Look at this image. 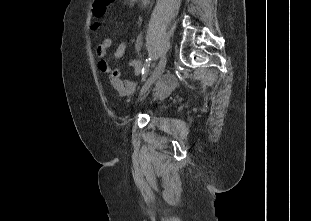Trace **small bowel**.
Masks as SVG:
<instances>
[{
  "label": "small bowel",
  "instance_id": "1",
  "mask_svg": "<svg viewBox=\"0 0 311 221\" xmlns=\"http://www.w3.org/2000/svg\"><path fill=\"white\" fill-rule=\"evenodd\" d=\"M136 1L137 0H129L130 3H135ZM112 45H113V41L110 37L103 38V40L98 44V46H112ZM141 46H142V40L141 38H138L136 41L137 51L141 50ZM126 49H127V43L125 41L120 42L114 51V55H113L114 59L120 60L124 56ZM96 54L99 57L98 67L101 72L109 75L110 78L114 74L117 73L116 69H112L108 60L106 59L107 53H96ZM129 65L134 69L135 74H138L140 72V68H141L140 59L134 58L130 60ZM137 87H138V84L136 82L126 81L124 85L117 87V90L119 91L121 96L129 98L135 93Z\"/></svg>",
  "mask_w": 311,
  "mask_h": 221
}]
</instances>
